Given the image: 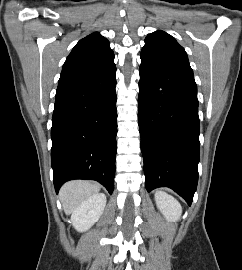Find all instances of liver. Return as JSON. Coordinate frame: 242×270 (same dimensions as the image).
<instances>
[{
	"label": "liver",
	"mask_w": 242,
	"mask_h": 270,
	"mask_svg": "<svg viewBox=\"0 0 242 270\" xmlns=\"http://www.w3.org/2000/svg\"><path fill=\"white\" fill-rule=\"evenodd\" d=\"M100 185L89 181H70L60 190V200L66 215L73 213L77 207L90 196L99 192Z\"/></svg>",
	"instance_id": "6515ba94"
}]
</instances>
